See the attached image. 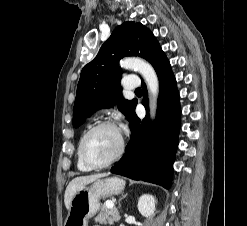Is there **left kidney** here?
<instances>
[{
	"label": "left kidney",
	"instance_id": "obj_1",
	"mask_svg": "<svg viewBox=\"0 0 247 226\" xmlns=\"http://www.w3.org/2000/svg\"><path fill=\"white\" fill-rule=\"evenodd\" d=\"M138 210L144 217H151L156 210V199L149 194L142 195L138 200Z\"/></svg>",
	"mask_w": 247,
	"mask_h": 226
}]
</instances>
